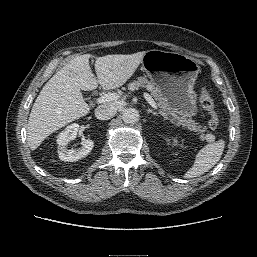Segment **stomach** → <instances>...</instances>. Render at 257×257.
Wrapping results in <instances>:
<instances>
[{
  "label": "stomach",
  "instance_id": "obj_1",
  "mask_svg": "<svg viewBox=\"0 0 257 257\" xmlns=\"http://www.w3.org/2000/svg\"><path fill=\"white\" fill-rule=\"evenodd\" d=\"M142 68L173 110L186 118L197 114L194 84L200 66L196 59L177 52L149 50L142 59Z\"/></svg>",
  "mask_w": 257,
  "mask_h": 257
}]
</instances>
